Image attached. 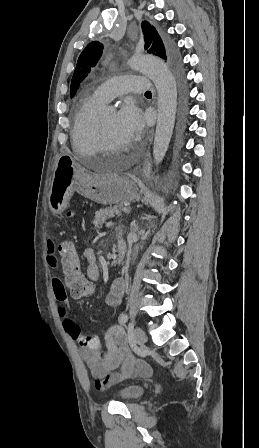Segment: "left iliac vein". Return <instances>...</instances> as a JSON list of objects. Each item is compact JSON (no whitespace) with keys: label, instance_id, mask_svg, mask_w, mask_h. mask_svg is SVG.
<instances>
[{"label":"left iliac vein","instance_id":"1","mask_svg":"<svg viewBox=\"0 0 259 448\" xmlns=\"http://www.w3.org/2000/svg\"><path fill=\"white\" fill-rule=\"evenodd\" d=\"M133 338L137 346H142L147 341V336L140 327L134 329Z\"/></svg>","mask_w":259,"mask_h":448}]
</instances>
